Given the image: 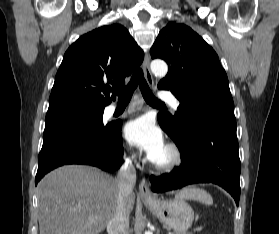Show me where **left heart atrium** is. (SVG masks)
I'll return each instance as SVG.
<instances>
[{
	"label": "left heart atrium",
	"instance_id": "1",
	"mask_svg": "<svg viewBox=\"0 0 279 234\" xmlns=\"http://www.w3.org/2000/svg\"><path fill=\"white\" fill-rule=\"evenodd\" d=\"M124 134L132 145L145 151L152 161L165 150L162 132L149 116H141L129 121L124 127Z\"/></svg>",
	"mask_w": 279,
	"mask_h": 234
}]
</instances>
